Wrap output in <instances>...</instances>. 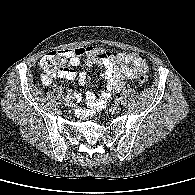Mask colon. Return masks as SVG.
I'll use <instances>...</instances> for the list:
<instances>
[{"label":"colon","mask_w":195,"mask_h":195,"mask_svg":"<svg viewBox=\"0 0 195 195\" xmlns=\"http://www.w3.org/2000/svg\"><path fill=\"white\" fill-rule=\"evenodd\" d=\"M40 68L42 70L44 81L50 82L67 70L66 58L60 52H50L40 60ZM146 81V75L142 74L138 77V82L140 84H144Z\"/></svg>","instance_id":"colon-1"}]
</instances>
